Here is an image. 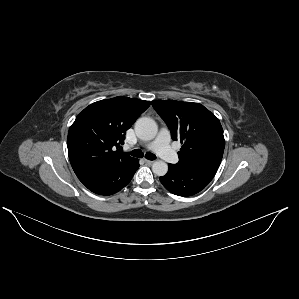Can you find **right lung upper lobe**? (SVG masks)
<instances>
[{"instance_id": "obj_1", "label": "right lung upper lobe", "mask_w": 299, "mask_h": 299, "mask_svg": "<svg viewBox=\"0 0 299 299\" xmlns=\"http://www.w3.org/2000/svg\"><path fill=\"white\" fill-rule=\"evenodd\" d=\"M149 105V101L115 97L86 107L71 125L67 139L77 177L134 160L115 147L124 143L126 131Z\"/></svg>"}]
</instances>
